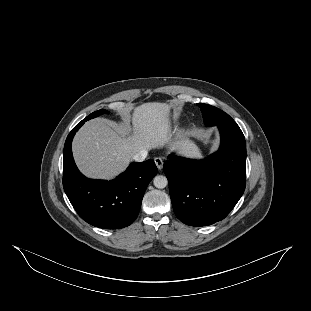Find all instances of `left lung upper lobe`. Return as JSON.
<instances>
[{
    "label": "left lung upper lobe",
    "mask_w": 311,
    "mask_h": 311,
    "mask_svg": "<svg viewBox=\"0 0 311 311\" xmlns=\"http://www.w3.org/2000/svg\"><path fill=\"white\" fill-rule=\"evenodd\" d=\"M197 105L201 109L204 123L207 126L236 123L228 114L214 106L204 103H198Z\"/></svg>",
    "instance_id": "left-lung-upper-lobe-1"
}]
</instances>
